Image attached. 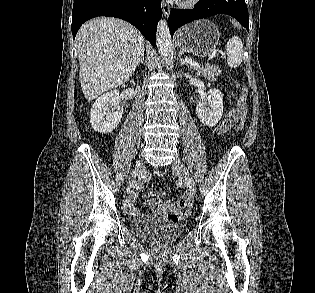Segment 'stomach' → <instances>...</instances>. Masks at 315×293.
<instances>
[{
  "label": "stomach",
  "mask_w": 315,
  "mask_h": 293,
  "mask_svg": "<svg viewBox=\"0 0 315 293\" xmlns=\"http://www.w3.org/2000/svg\"><path fill=\"white\" fill-rule=\"evenodd\" d=\"M220 33L216 25L208 20H198L185 25L177 34V45L185 52L197 57H206L216 49Z\"/></svg>",
  "instance_id": "obj_1"
}]
</instances>
